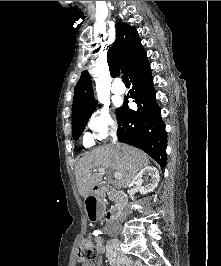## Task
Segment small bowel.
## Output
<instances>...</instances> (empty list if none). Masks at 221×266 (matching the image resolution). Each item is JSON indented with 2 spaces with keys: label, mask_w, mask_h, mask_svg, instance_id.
Instances as JSON below:
<instances>
[{
  "label": "small bowel",
  "mask_w": 221,
  "mask_h": 266,
  "mask_svg": "<svg viewBox=\"0 0 221 266\" xmlns=\"http://www.w3.org/2000/svg\"><path fill=\"white\" fill-rule=\"evenodd\" d=\"M96 243L99 253L105 251V254L111 266H145L140 261H133L128 257L121 255L114 247H107L106 249H104L100 239L98 238L96 239ZM101 262L102 258L98 256L94 261L86 262L82 266H100Z\"/></svg>",
  "instance_id": "small-bowel-1"
}]
</instances>
